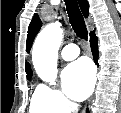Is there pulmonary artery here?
<instances>
[{
    "mask_svg": "<svg viewBox=\"0 0 121 113\" xmlns=\"http://www.w3.org/2000/svg\"><path fill=\"white\" fill-rule=\"evenodd\" d=\"M79 53L80 51L78 46L71 43L63 47V49L61 50V57L65 61H71L78 57Z\"/></svg>",
    "mask_w": 121,
    "mask_h": 113,
    "instance_id": "obj_1",
    "label": "pulmonary artery"
}]
</instances>
